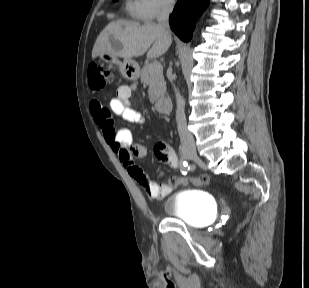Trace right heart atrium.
I'll list each match as a JSON object with an SVG mask.
<instances>
[{
    "label": "right heart atrium",
    "instance_id": "d8ad5b80",
    "mask_svg": "<svg viewBox=\"0 0 309 288\" xmlns=\"http://www.w3.org/2000/svg\"><path fill=\"white\" fill-rule=\"evenodd\" d=\"M140 8L142 17L146 19H154L161 13L170 11L175 0H137Z\"/></svg>",
    "mask_w": 309,
    "mask_h": 288
}]
</instances>
